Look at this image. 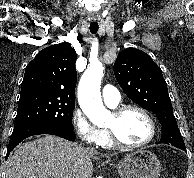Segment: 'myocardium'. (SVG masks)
<instances>
[{"mask_svg": "<svg viewBox=\"0 0 194 178\" xmlns=\"http://www.w3.org/2000/svg\"><path fill=\"white\" fill-rule=\"evenodd\" d=\"M131 110L138 111V112L142 113L147 118V120L149 121V124H150V135L145 141H143L141 143L131 144V143H126L123 140H121L114 128L106 127V131L110 137L111 142L113 143V145H115L117 147L127 148V149L141 148V147H144V146L150 144L156 137V134H157L156 121H155L153 115L146 108L139 106V105H124V106H120V107L115 108L113 110L112 114L116 118H120L124 114H126L127 112H129Z\"/></svg>", "mask_w": 194, "mask_h": 178, "instance_id": "1", "label": "myocardium"}]
</instances>
